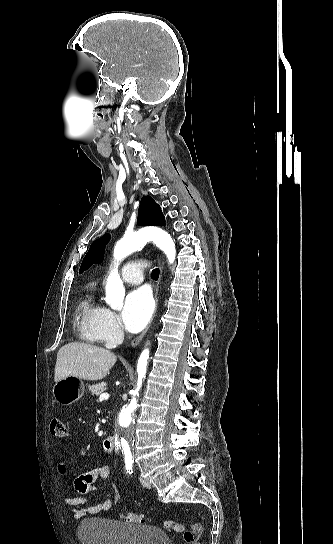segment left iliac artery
<instances>
[{
    "label": "left iliac artery",
    "instance_id": "obj_1",
    "mask_svg": "<svg viewBox=\"0 0 333 544\" xmlns=\"http://www.w3.org/2000/svg\"><path fill=\"white\" fill-rule=\"evenodd\" d=\"M125 468H126V470H127V472H128L129 474H132V473H133V470H132V463H131V462H126Z\"/></svg>",
    "mask_w": 333,
    "mask_h": 544
}]
</instances>
